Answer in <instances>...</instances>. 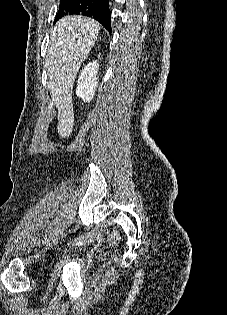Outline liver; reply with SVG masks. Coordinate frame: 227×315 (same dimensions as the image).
I'll list each match as a JSON object with an SVG mask.
<instances>
[{
	"label": "liver",
	"mask_w": 227,
	"mask_h": 315,
	"mask_svg": "<svg viewBox=\"0 0 227 315\" xmlns=\"http://www.w3.org/2000/svg\"><path fill=\"white\" fill-rule=\"evenodd\" d=\"M100 25L83 16H67L52 30L46 57L48 89L58 108V133L67 137L73 130L72 90L77 73L94 46Z\"/></svg>",
	"instance_id": "1"
}]
</instances>
